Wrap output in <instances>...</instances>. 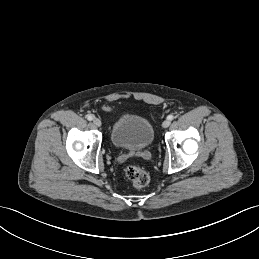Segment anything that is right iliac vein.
<instances>
[{"label": "right iliac vein", "mask_w": 259, "mask_h": 259, "mask_svg": "<svg viewBox=\"0 0 259 259\" xmlns=\"http://www.w3.org/2000/svg\"><path fill=\"white\" fill-rule=\"evenodd\" d=\"M93 123L95 126L100 127L102 125V122L99 118H94Z\"/></svg>", "instance_id": "1"}]
</instances>
